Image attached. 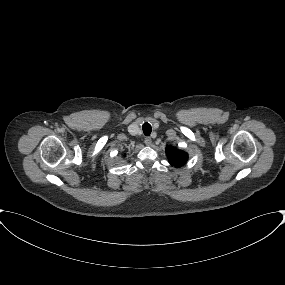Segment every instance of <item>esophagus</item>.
I'll return each instance as SVG.
<instances>
[{
  "instance_id": "obj_1",
  "label": "esophagus",
  "mask_w": 285,
  "mask_h": 285,
  "mask_svg": "<svg viewBox=\"0 0 285 285\" xmlns=\"http://www.w3.org/2000/svg\"><path fill=\"white\" fill-rule=\"evenodd\" d=\"M144 143L147 145V146H150L152 144V139L151 137H146L145 140H144Z\"/></svg>"
}]
</instances>
